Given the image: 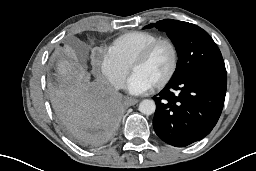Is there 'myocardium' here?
Returning a JSON list of instances; mask_svg holds the SVG:
<instances>
[{
	"mask_svg": "<svg viewBox=\"0 0 256 171\" xmlns=\"http://www.w3.org/2000/svg\"><path fill=\"white\" fill-rule=\"evenodd\" d=\"M166 44L169 46L171 53H172V64L169 72L167 75L157 84L153 85L154 89H161L165 87L174 77L177 68H178V63H179V55H178V50L176 45L174 44L173 41L167 38H159L152 43L148 44L145 48H143L132 60L130 64V70L132 71L133 68L136 65H139L143 62H145L150 55L153 53V51L160 45Z\"/></svg>",
	"mask_w": 256,
	"mask_h": 171,
	"instance_id": "obj_1",
	"label": "myocardium"
}]
</instances>
